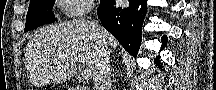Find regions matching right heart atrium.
Instances as JSON below:
<instances>
[{"instance_id": "obj_1", "label": "right heart atrium", "mask_w": 216, "mask_h": 90, "mask_svg": "<svg viewBox=\"0 0 216 90\" xmlns=\"http://www.w3.org/2000/svg\"><path fill=\"white\" fill-rule=\"evenodd\" d=\"M65 6H69L68 11H65V15L70 18L78 17L80 12H87L88 6H95L94 0H65Z\"/></svg>"}]
</instances>
